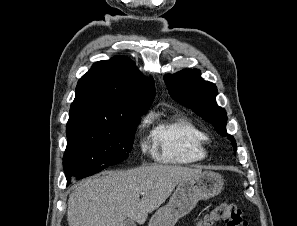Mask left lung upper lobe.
Masks as SVG:
<instances>
[{"instance_id":"1","label":"left lung upper lobe","mask_w":297,"mask_h":226,"mask_svg":"<svg viewBox=\"0 0 297 226\" xmlns=\"http://www.w3.org/2000/svg\"><path fill=\"white\" fill-rule=\"evenodd\" d=\"M200 75L197 69H185L173 75H166L164 81L170 96L175 101L213 124L219 134L231 140L233 149L236 151V141L226 131V111L215 101L218 94L217 87L211 82L204 81Z\"/></svg>"}]
</instances>
